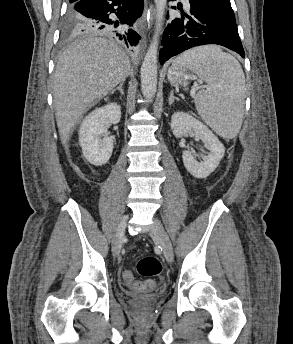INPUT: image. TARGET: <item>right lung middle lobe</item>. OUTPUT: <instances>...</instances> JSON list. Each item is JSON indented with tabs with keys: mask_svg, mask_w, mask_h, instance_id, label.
Wrapping results in <instances>:
<instances>
[{
	"mask_svg": "<svg viewBox=\"0 0 293 344\" xmlns=\"http://www.w3.org/2000/svg\"><path fill=\"white\" fill-rule=\"evenodd\" d=\"M87 22H88L87 19L69 10L66 15V19H65V23L63 27V32H62L63 38L68 39L81 33L82 32L81 29L85 27Z\"/></svg>",
	"mask_w": 293,
	"mask_h": 344,
	"instance_id": "dd1d6c3e",
	"label": "right lung middle lobe"
}]
</instances>
